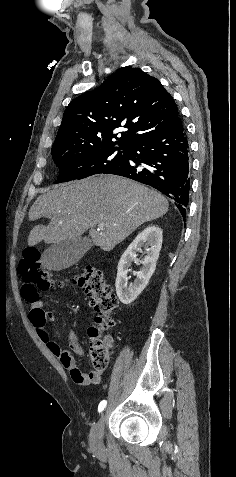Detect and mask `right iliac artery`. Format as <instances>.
<instances>
[{"mask_svg": "<svg viewBox=\"0 0 236 477\" xmlns=\"http://www.w3.org/2000/svg\"><path fill=\"white\" fill-rule=\"evenodd\" d=\"M107 405V401L106 400H103L100 402L99 406H98V412H102L104 410V408L106 407Z\"/></svg>", "mask_w": 236, "mask_h": 477, "instance_id": "obj_1", "label": "right iliac artery"}]
</instances>
